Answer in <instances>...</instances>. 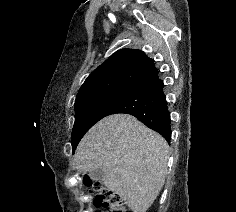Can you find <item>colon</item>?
<instances>
[{
	"label": "colon",
	"mask_w": 236,
	"mask_h": 212,
	"mask_svg": "<svg viewBox=\"0 0 236 212\" xmlns=\"http://www.w3.org/2000/svg\"><path fill=\"white\" fill-rule=\"evenodd\" d=\"M83 185L94 196L95 204L105 208L107 212H130L124 202L100 182L85 176Z\"/></svg>",
	"instance_id": "obj_1"
}]
</instances>
